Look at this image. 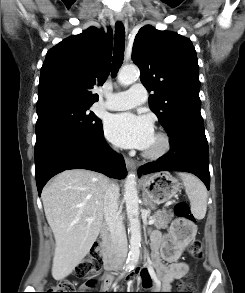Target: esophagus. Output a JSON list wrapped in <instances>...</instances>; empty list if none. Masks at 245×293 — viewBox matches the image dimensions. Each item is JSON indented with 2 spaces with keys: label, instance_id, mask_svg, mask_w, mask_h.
<instances>
[{
  "label": "esophagus",
  "instance_id": "1",
  "mask_svg": "<svg viewBox=\"0 0 245 293\" xmlns=\"http://www.w3.org/2000/svg\"><path fill=\"white\" fill-rule=\"evenodd\" d=\"M116 19L118 21H123L124 17L122 15H117ZM125 163H126V166H127V168L129 170H135L136 169V163L133 160H131V159L126 157L125 158Z\"/></svg>",
  "mask_w": 245,
  "mask_h": 293
}]
</instances>
